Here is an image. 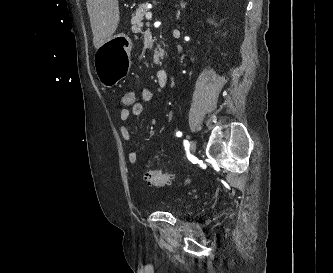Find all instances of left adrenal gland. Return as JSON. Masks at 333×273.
<instances>
[{
    "label": "left adrenal gland",
    "instance_id": "obj_1",
    "mask_svg": "<svg viewBox=\"0 0 333 273\" xmlns=\"http://www.w3.org/2000/svg\"><path fill=\"white\" fill-rule=\"evenodd\" d=\"M181 8H185V5H186V3H183V1H181Z\"/></svg>",
    "mask_w": 333,
    "mask_h": 273
}]
</instances>
